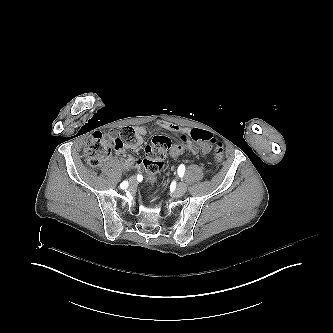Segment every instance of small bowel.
Returning <instances> with one entry per match:
<instances>
[{"label":"small bowel","mask_w":333,"mask_h":333,"mask_svg":"<svg viewBox=\"0 0 333 333\" xmlns=\"http://www.w3.org/2000/svg\"><path fill=\"white\" fill-rule=\"evenodd\" d=\"M158 125L166 130H169L171 132L174 133H179L180 134V140L183 139L185 140V147L187 150H189L192 153L197 152V147L194 146L191 143V140L193 138L194 142H202V141H210L212 139V132L211 131H205V130H201V129H197V128H193V129H188V128H181L178 125L174 124V123H170V122H165V121H161L158 123ZM147 134V128L144 126H137L135 128V137L137 139L138 142L142 141L143 137ZM123 141H118V143L116 144V149L121 150V151H126V150H134L136 149L137 145L134 143H129L126 146L123 145ZM179 150L172 152L173 156H177L179 154ZM125 167L129 168V167H133L135 169H140L141 167V161L138 160H132L130 158L126 159L125 162Z\"/></svg>","instance_id":"c3829d8e"}]
</instances>
